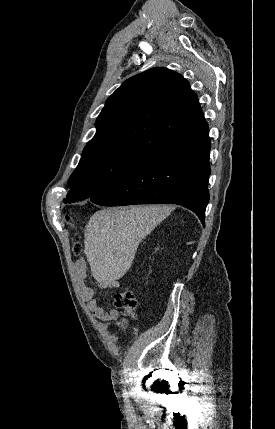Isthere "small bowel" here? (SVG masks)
Returning a JSON list of instances; mask_svg holds the SVG:
<instances>
[{"label":"small bowel","mask_w":275,"mask_h":429,"mask_svg":"<svg viewBox=\"0 0 275 429\" xmlns=\"http://www.w3.org/2000/svg\"><path fill=\"white\" fill-rule=\"evenodd\" d=\"M75 270L79 296L86 303L88 310L93 314V316L101 321H109L116 318L119 313L118 310L110 309L105 311L101 306H99L96 298L94 297L93 289L86 284V263L84 261L78 262L75 265ZM101 286L102 288H109L117 287V284L102 283Z\"/></svg>","instance_id":"small-bowel-1"}]
</instances>
